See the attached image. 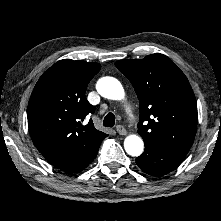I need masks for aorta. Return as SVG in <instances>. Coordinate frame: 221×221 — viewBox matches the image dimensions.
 Listing matches in <instances>:
<instances>
[{"mask_svg":"<svg viewBox=\"0 0 221 221\" xmlns=\"http://www.w3.org/2000/svg\"><path fill=\"white\" fill-rule=\"evenodd\" d=\"M98 93L107 99L124 100L125 92L121 83L113 77H103L96 85ZM125 151L131 156H140L144 149L143 140L137 135H129L124 140Z\"/></svg>","mask_w":221,"mask_h":221,"instance_id":"obj_1","label":"aorta"}]
</instances>
